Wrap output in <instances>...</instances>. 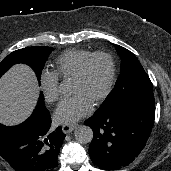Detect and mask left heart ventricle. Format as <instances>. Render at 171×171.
Wrapping results in <instances>:
<instances>
[{
    "label": "left heart ventricle",
    "instance_id": "b2bd125f",
    "mask_svg": "<svg viewBox=\"0 0 171 171\" xmlns=\"http://www.w3.org/2000/svg\"><path fill=\"white\" fill-rule=\"evenodd\" d=\"M109 78V62L103 56L96 57L89 64L84 77L80 80H71V93L81 94L90 103L103 92Z\"/></svg>",
    "mask_w": 171,
    "mask_h": 171
}]
</instances>
